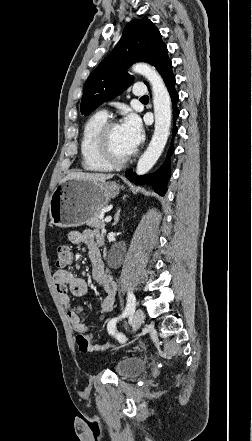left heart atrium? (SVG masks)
<instances>
[{"mask_svg": "<svg viewBox=\"0 0 252 441\" xmlns=\"http://www.w3.org/2000/svg\"><path fill=\"white\" fill-rule=\"evenodd\" d=\"M126 145L132 153L143 138L142 125L135 114H128L121 124Z\"/></svg>", "mask_w": 252, "mask_h": 441, "instance_id": "obj_1", "label": "left heart atrium"}]
</instances>
